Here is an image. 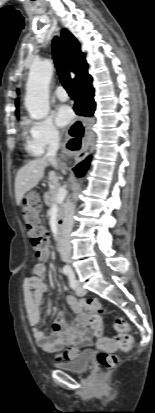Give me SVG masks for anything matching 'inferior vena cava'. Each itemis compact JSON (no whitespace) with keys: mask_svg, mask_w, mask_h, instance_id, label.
<instances>
[{"mask_svg":"<svg viewBox=\"0 0 155 413\" xmlns=\"http://www.w3.org/2000/svg\"><path fill=\"white\" fill-rule=\"evenodd\" d=\"M59 134L58 132H53L49 138V146L47 149L46 158L53 165L57 166L56 153L59 149ZM75 211V204L69 201L66 205L65 215L62 223V244L60 249V255L63 262H71V244H70V233L73 227V215Z\"/></svg>","mask_w":155,"mask_h":413,"instance_id":"1","label":"inferior vena cava"}]
</instances>
